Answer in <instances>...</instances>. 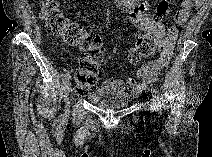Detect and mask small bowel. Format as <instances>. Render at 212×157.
<instances>
[{
  "instance_id": "obj_1",
  "label": "small bowel",
  "mask_w": 212,
  "mask_h": 157,
  "mask_svg": "<svg viewBox=\"0 0 212 157\" xmlns=\"http://www.w3.org/2000/svg\"><path fill=\"white\" fill-rule=\"evenodd\" d=\"M194 2L192 0H183L180 8L175 13V22L177 25H184L190 15ZM118 6L128 12L131 24L142 31L156 29L164 33L165 39L161 45V52L156 60L142 65L137 78L129 76L124 79L109 78L105 80L101 88L90 94L91 101H97L105 94L130 92L133 95H139L149 86L153 85L159 78V74L165 68L172 57L173 47L177 38V29L169 28L167 31L161 23L156 22L148 13L149 2H138L135 0H118Z\"/></svg>"
}]
</instances>
